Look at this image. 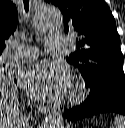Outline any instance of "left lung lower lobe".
<instances>
[{"instance_id": "left-lung-lower-lobe-1", "label": "left lung lower lobe", "mask_w": 125, "mask_h": 128, "mask_svg": "<svg viewBox=\"0 0 125 128\" xmlns=\"http://www.w3.org/2000/svg\"><path fill=\"white\" fill-rule=\"evenodd\" d=\"M104 112H115L125 115V79L108 84L93 98L90 92L80 105L65 111L69 122L91 117Z\"/></svg>"}]
</instances>
